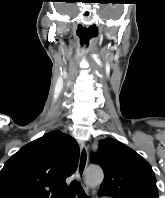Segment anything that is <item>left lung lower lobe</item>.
<instances>
[{
	"label": "left lung lower lobe",
	"instance_id": "0a47b994",
	"mask_svg": "<svg viewBox=\"0 0 165 198\" xmlns=\"http://www.w3.org/2000/svg\"><path fill=\"white\" fill-rule=\"evenodd\" d=\"M99 193H100V194H106V193H103V192H101V191H99ZM106 195H107V194H106Z\"/></svg>",
	"mask_w": 165,
	"mask_h": 198
}]
</instances>
